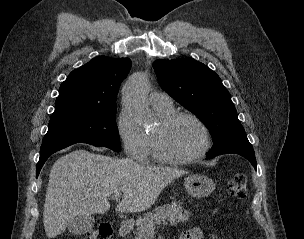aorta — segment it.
Wrapping results in <instances>:
<instances>
[{
  "mask_svg": "<svg viewBox=\"0 0 304 239\" xmlns=\"http://www.w3.org/2000/svg\"><path fill=\"white\" fill-rule=\"evenodd\" d=\"M148 81L143 74L132 76L124 85L122 102L131 108L140 122H147L150 110L147 102Z\"/></svg>",
  "mask_w": 304,
  "mask_h": 239,
  "instance_id": "1",
  "label": "aorta"
}]
</instances>
